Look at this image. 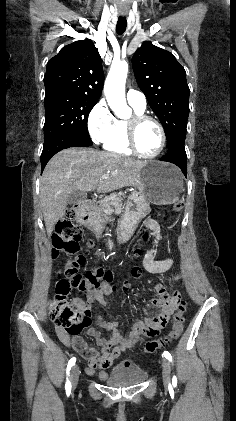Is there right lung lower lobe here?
<instances>
[{"instance_id":"98d812e1","label":"right lung lower lobe","mask_w":236,"mask_h":421,"mask_svg":"<svg viewBox=\"0 0 236 421\" xmlns=\"http://www.w3.org/2000/svg\"><path fill=\"white\" fill-rule=\"evenodd\" d=\"M91 145L92 143L90 144L70 135L60 134L54 136L50 140L44 142L41 154V172H43L47 162L57 152L69 147H88Z\"/></svg>"}]
</instances>
